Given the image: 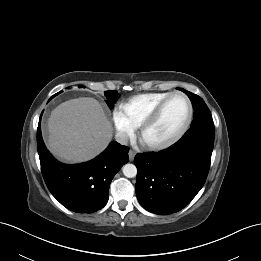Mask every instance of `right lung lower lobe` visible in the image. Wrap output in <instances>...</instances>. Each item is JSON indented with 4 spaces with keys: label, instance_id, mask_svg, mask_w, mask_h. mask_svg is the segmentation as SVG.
Here are the masks:
<instances>
[{
    "label": "right lung lower lobe",
    "instance_id": "98d812e1",
    "mask_svg": "<svg viewBox=\"0 0 261 261\" xmlns=\"http://www.w3.org/2000/svg\"><path fill=\"white\" fill-rule=\"evenodd\" d=\"M41 116L37 148L41 171L51 194L63 206L77 213H92L103 208L108 201L111 180L129 161V149L113 141L91 161L76 165L63 164L50 155L42 140Z\"/></svg>",
    "mask_w": 261,
    "mask_h": 261
}]
</instances>
